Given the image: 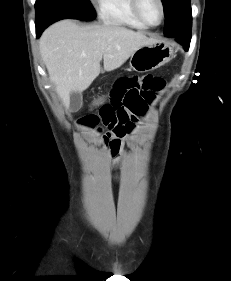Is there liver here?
I'll return each instance as SVG.
<instances>
[{
  "label": "liver",
  "mask_w": 231,
  "mask_h": 281,
  "mask_svg": "<svg viewBox=\"0 0 231 281\" xmlns=\"http://www.w3.org/2000/svg\"><path fill=\"white\" fill-rule=\"evenodd\" d=\"M141 32L119 25L79 26L62 20L48 27L40 38V53L50 81L65 108L72 92H83L101 72L122 66L139 48L157 43Z\"/></svg>",
  "instance_id": "obj_1"
}]
</instances>
